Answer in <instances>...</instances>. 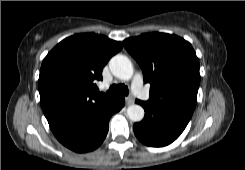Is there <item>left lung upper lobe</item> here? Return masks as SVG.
<instances>
[{
  "label": "left lung upper lobe",
  "mask_w": 245,
  "mask_h": 170,
  "mask_svg": "<svg viewBox=\"0 0 245 170\" xmlns=\"http://www.w3.org/2000/svg\"><path fill=\"white\" fill-rule=\"evenodd\" d=\"M150 83V99L158 107L192 116L200 83L199 60L189 42L176 35L148 33L123 41Z\"/></svg>",
  "instance_id": "obj_1"
}]
</instances>
